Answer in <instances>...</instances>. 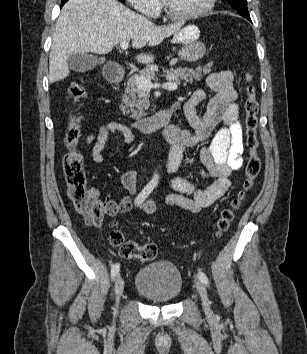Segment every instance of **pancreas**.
<instances>
[{"instance_id": "pancreas-1", "label": "pancreas", "mask_w": 307, "mask_h": 354, "mask_svg": "<svg viewBox=\"0 0 307 354\" xmlns=\"http://www.w3.org/2000/svg\"><path fill=\"white\" fill-rule=\"evenodd\" d=\"M158 71L156 65L147 66L138 75L129 77L126 81L125 93L122 98L123 104L121 105V111L123 114H129L134 119H140L146 115L145 110L149 108V94L148 92L141 90L137 86V78L143 77L147 79H153L155 73ZM166 77L169 81L186 85L187 83H193L199 81L205 74L211 72L210 65L204 67L193 68H177L166 69Z\"/></svg>"}]
</instances>
